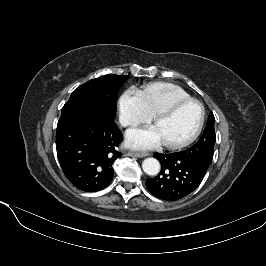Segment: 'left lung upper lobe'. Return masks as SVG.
<instances>
[{"instance_id": "5c2ea615", "label": "left lung upper lobe", "mask_w": 266, "mask_h": 266, "mask_svg": "<svg viewBox=\"0 0 266 266\" xmlns=\"http://www.w3.org/2000/svg\"><path fill=\"white\" fill-rule=\"evenodd\" d=\"M214 121V115L210 113L206 128L198 142L191 148L180 152L184 158L192 160L206 170L211 164L216 141Z\"/></svg>"}]
</instances>
